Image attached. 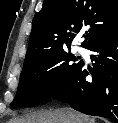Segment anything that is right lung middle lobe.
<instances>
[{"label":"right lung middle lobe","mask_w":118,"mask_h":123,"mask_svg":"<svg viewBox=\"0 0 118 123\" xmlns=\"http://www.w3.org/2000/svg\"><path fill=\"white\" fill-rule=\"evenodd\" d=\"M70 52L61 49L40 56L23 66L13 107L42 102L64 86L82 65Z\"/></svg>","instance_id":"1"}]
</instances>
